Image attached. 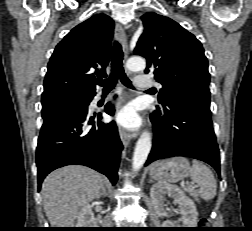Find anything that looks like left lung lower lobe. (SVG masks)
<instances>
[{
    "label": "left lung lower lobe",
    "instance_id": "0a47b994",
    "mask_svg": "<svg viewBox=\"0 0 252 231\" xmlns=\"http://www.w3.org/2000/svg\"><path fill=\"white\" fill-rule=\"evenodd\" d=\"M150 115L154 140L145 165L174 156L210 164L220 176L219 148L211 121L210 96L188 90L174 94Z\"/></svg>",
    "mask_w": 252,
    "mask_h": 231
}]
</instances>
